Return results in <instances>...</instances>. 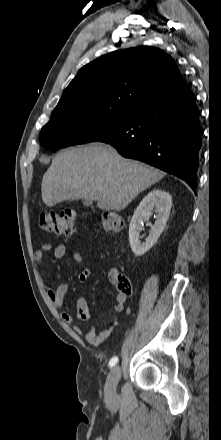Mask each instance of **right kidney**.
<instances>
[{
    "label": "right kidney",
    "instance_id": "ca27d5eb",
    "mask_svg": "<svg viewBox=\"0 0 221 440\" xmlns=\"http://www.w3.org/2000/svg\"><path fill=\"white\" fill-rule=\"evenodd\" d=\"M172 198L161 189H153L136 208L129 225V242L136 256L144 255L158 240L170 215ZM157 211L154 226L151 227L145 242H140V231L144 221H148L153 209Z\"/></svg>",
    "mask_w": 221,
    "mask_h": 440
}]
</instances>
